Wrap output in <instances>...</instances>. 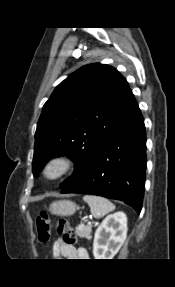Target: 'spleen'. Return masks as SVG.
<instances>
[{"label": "spleen", "mask_w": 175, "mask_h": 287, "mask_svg": "<svg viewBox=\"0 0 175 287\" xmlns=\"http://www.w3.org/2000/svg\"><path fill=\"white\" fill-rule=\"evenodd\" d=\"M83 200L90 206L91 214L95 218H101L115 210V205L101 196L85 195Z\"/></svg>", "instance_id": "obj_1"}]
</instances>
